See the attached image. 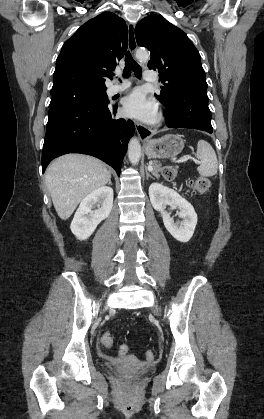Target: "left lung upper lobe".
Segmentation results:
<instances>
[{"label": "left lung upper lobe", "mask_w": 264, "mask_h": 419, "mask_svg": "<svg viewBox=\"0 0 264 419\" xmlns=\"http://www.w3.org/2000/svg\"><path fill=\"white\" fill-rule=\"evenodd\" d=\"M138 45L151 53L148 67L159 72L163 82L159 97L179 101L196 89H207L201 57L187 35L158 15H149L135 28Z\"/></svg>", "instance_id": "obj_1"}]
</instances>
